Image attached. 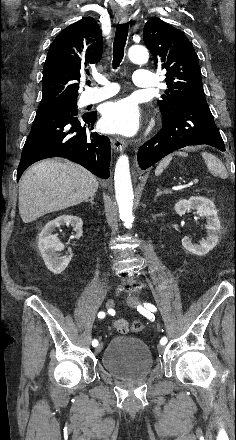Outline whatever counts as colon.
<instances>
[{
	"label": "colon",
	"instance_id": "1",
	"mask_svg": "<svg viewBox=\"0 0 236 440\" xmlns=\"http://www.w3.org/2000/svg\"><path fill=\"white\" fill-rule=\"evenodd\" d=\"M143 329H144L143 324L139 321H136V322L132 323L130 326H127L125 330H119V331H121L123 333H128V332L140 333L143 331Z\"/></svg>",
	"mask_w": 236,
	"mask_h": 440
}]
</instances>
